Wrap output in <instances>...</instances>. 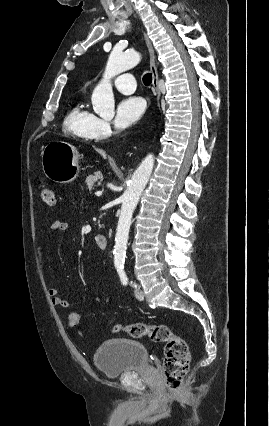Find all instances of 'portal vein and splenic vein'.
<instances>
[{
	"instance_id": "portal-vein-and-splenic-vein-1",
	"label": "portal vein and splenic vein",
	"mask_w": 269,
	"mask_h": 426,
	"mask_svg": "<svg viewBox=\"0 0 269 426\" xmlns=\"http://www.w3.org/2000/svg\"><path fill=\"white\" fill-rule=\"evenodd\" d=\"M102 195V192L101 191H97L96 192V196H101Z\"/></svg>"
}]
</instances>
